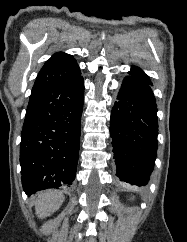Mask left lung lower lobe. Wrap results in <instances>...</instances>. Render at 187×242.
Segmentation results:
<instances>
[{"label":"left lung lower lobe","instance_id":"0a47b994","mask_svg":"<svg viewBox=\"0 0 187 242\" xmlns=\"http://www.w3.org/2000/svg\"><path fill=\"white\" fill-rule=\"evenodd\" d=\"M150 85L125 77L111 112L116 176L134 186L148 183L157 154V106Z\"/></svg>","mask_w":187,"mask_h":242}]
</instances>
